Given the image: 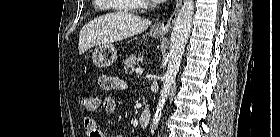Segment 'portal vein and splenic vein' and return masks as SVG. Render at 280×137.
Masks as SVG:
<instances>
[{
    "mask_svg": "<svg viewBox=\"0 0 280 137\" xmlns=\"http://www.w3.org/2000/svg\"><path fill=\"white\" fill-rule=\"evenodd\" d=\"M135 72H136V74H142L143 70H142V68H136Z\"/></svg>",
    "mask_w": 280,
    "mask_h": 137,
    "instance_id": "obj_1",
    "label": "portal vein and splenic vein"
}]
</instances>
